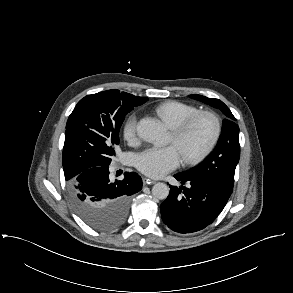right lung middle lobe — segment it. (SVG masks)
Masks as SVG:
<instances>
[{
	"instance_id": "dd1d6c3e",
	"label": "right lung middle lobe",
	"mask_w": 293,
	"mask_h": 293,
	"mask_svg": "<svg viewBox=\"0 0 293 293\" xmlns=\"http://www.w3.org/2000/svg\"><path fill=\"white\" fill-rule=\"evenodd\" d=\"M143 103L129 93L104 91L81 99L68 118L62 157L65 179L75 210L93 228L112 230L124 218L118 214L87 212L72 190L76 177L88 168L109 166L120 142L119 131L125 115Z\"/></svg>"
}]
</instances>
